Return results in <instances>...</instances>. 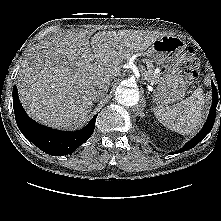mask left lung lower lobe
<instances>
[{
    "instance_id": "0a47b994",
    "label": "left lung lower lobe",
    "mask_w": 221,
    "mask_h": 221,
    "mask_svg": "<svg viewBox=\"0 0 221 221\" xmlns=\"http://www.w3.org/2000/svg\"><path fill=\"white\" fill-rule=\"evenodd\" d=\"M212 106L209 112L208 119L202 128V130L192 139L190 140L179 152L187 151L194 146H196L212 129L214 120H215V115H216V107L217 103L220 101L221 103V87L218 86V89H216V86L212 82ZM177 153V152H176Z\"/></svg>"
}]
</instances>
